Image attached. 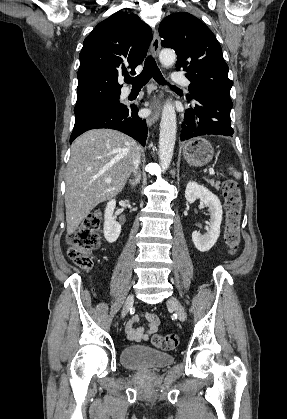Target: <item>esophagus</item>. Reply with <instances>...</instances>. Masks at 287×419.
<instances>
[{
	"instance_id": "esophagus-1",
	"label": "esophagus",
	"mask_w": 287,
	"mask_h": 419,
	"mask_svg": "<svg viewBox=\"0 0 287 419\" xmlns=\"http://www.w3.org/2000/svg\"><path fill=\"white\" fill-rule=\"evenodd\" d=\"M160 51V38L158 34H154L153 40L151 43V53L154 57H157ZM157 92V96L151 101L150 107L152 108L151 115L147 118V124L152 126L155 122L158 121L160 118V110H161V100H162V91L159 89H155Z\"/></svg>"
}]
</instances>
